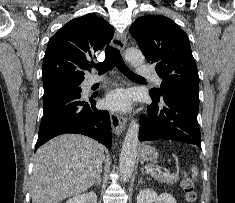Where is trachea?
Listing matches in <instances>:
<instances>
[{
    "label": "trachea",
    "instance_id": "obj_1",
    "mask_svg": "<svg viewBox=\"0 0 235 203\" xmlns=\"http://www.w3.org/2000/svg\"><path fill=\"white\" fill-rule=\"evenodd\" d=\"M105 60L98 64H91L98 70V74L102 75L111 70L115 65L127 77H141L133 73L124 63L120 51L117 48L107 46L105 51Z\"/></svg>",
    "mask_w": 235,
    "mask_h": 203
}]
</instances>
